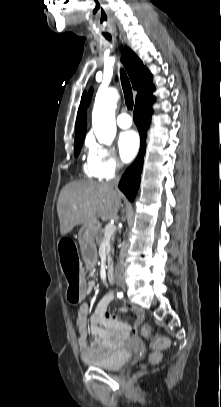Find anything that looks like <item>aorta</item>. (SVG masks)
Returning a JSON list of instances; mask_svg holds the SVG:
<instances>
[{
  "label": "aorta",
  "instance_id": "762f6f07",
  "mask_svg": "<svg viewBox=\"0 0 221 407\" xmlns=\"http://www.w3.org/2000/svg\"><path fill=\"white\" fill-rule=\"evenodd\" d=\"M118 92L114 88L99 91L92 112V126L100 143L110 145L116 135L115 108Z\"/></svg>",
  "mask_w": 221,
  "mask_h": 407
}]
</instances>
